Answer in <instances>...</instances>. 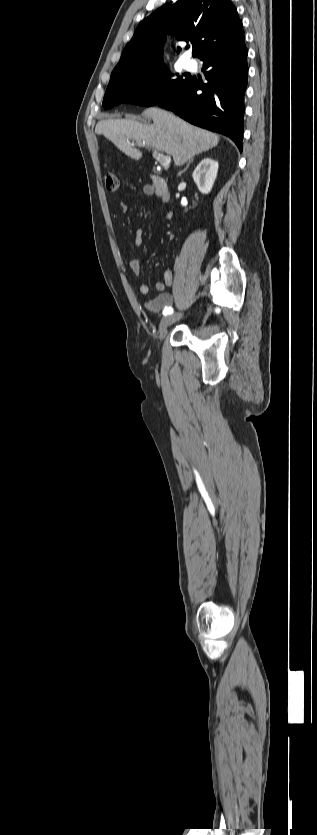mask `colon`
Masks as SVG:
<instances>
[{
	"instance_id": "1",
	"label": "colon",
	"mask_w": 317,
	"mask_h": 835,
	"mask_svg": "<svg viewBox=\"0 0 317 835\" xmlns=\"http://www.w3.org/2000/svg\"><path fill=\"white\" fill-rule=\"evenodd\" d=\"M105 185L108 191L115 192L119 186L117 175L114 173H107L105 176Z\"/></svg>"
}]
</instances>
